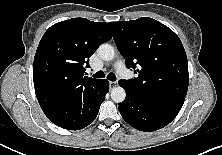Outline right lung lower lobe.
Returning <instances> with one entry per match:
<instances>
[{"label":"right lung lower lobe","instance_id":"98d812e1","mask_svg":"<svg viewBox=\"0 0 222 155\" xmlns=\"http://www.w3.org/2000/svg\"><path fill=\"white\" fill-rule=\"evenodd\" d=\"M109 91V82L100 80L85 91L56 100L49 94L37 95L45 115L55 125L69 130H79L91 124Z\"/></svg>","mask_w":222,"mask_h":155}]
</instances>
